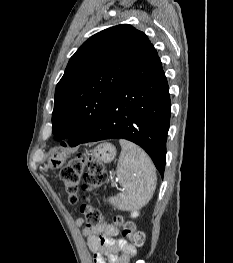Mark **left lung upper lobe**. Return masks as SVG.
I'll return each mask as SVG.
<instances>
[{"mask_svg": "<svg viewBox=\"0 0 233 263\" xmlns=\"http://www.w3.org/2000/svg\"><path fill=\"white\" fill-rule=\"evenodd\" d=\"M151 45L128 24L90 37L70 58L56 86L53 133L70 136V143L81 142Z\"/></svg>", "mask_w": 233, "mask_h": 263, "instance_id": "left-lung-upper-lobe-1", "label": "left lung upper lobe"}]
</instances>
